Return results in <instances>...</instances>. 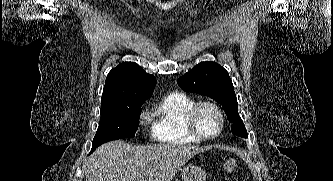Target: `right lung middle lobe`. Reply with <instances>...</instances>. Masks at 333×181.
<instances>
[{
    "instance_id": "1",
    "label": "right lung middle lobe",
    "mask_w": 333,
    "mask_h": 181,
    "mask_svg": "<svg viewBox=\"0 0 333 181\" xmlns=\"http://www.w3.org/2000/svg\"><path fill=\"white\" fill-rule=\"evenodd\" d=\"M143 102H135L101 110V118L93 139L92 152L101 144L125 137H134L139 125Z\"/></svg>"
}]
</instances>
